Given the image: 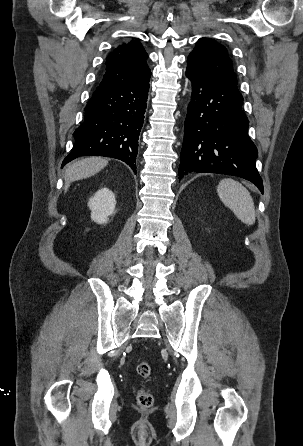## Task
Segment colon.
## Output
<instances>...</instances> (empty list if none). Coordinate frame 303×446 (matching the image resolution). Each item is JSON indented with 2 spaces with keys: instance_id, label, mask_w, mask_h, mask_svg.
I'll return each instance as SVG.
<instances>
[{
  "instance_id": "5ec220e1",
  "label": "colon",
  "mask_w": 303,
  "mask_h": 446,
  "mask_svg": "<svg viewBox=\"0 0 303 446\" xmlns=\"http://www.w3.org/2000/svg\"><path fill=\"white\" fill-rule=\"evenodd\" d=\"M136 371L138 375L144 379H147L151 375V366L148 362H140L137 367ZM154 398L152 393L149 390L141 389L137 393V403L142 408H150L153 405Z\"/></svg>"
}]
</instances>
